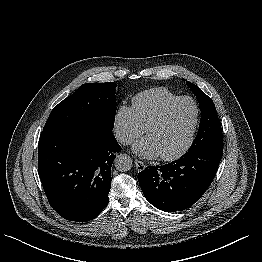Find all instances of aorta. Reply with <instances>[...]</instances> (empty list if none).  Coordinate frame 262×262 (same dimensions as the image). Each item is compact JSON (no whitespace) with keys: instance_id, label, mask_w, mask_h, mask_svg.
Returning a JSON list of instances; mask_svg holds the SVG:
<instances>
[{"instance_id":"762f6f07","label":"aorta","mask_w":262,"mask_h":262,"mask_svg":"<svg viewBox=\"0 0 262 262\" xmlns=\"http://www.w3.org/2000/svg\"><path fill=\"white\" fill-rule=\"evenodd\" d=\"M114 165L117 170L125 172L131 169L132 159L127 154H120L115 158Z\"/></svg>"}]
</instances>
